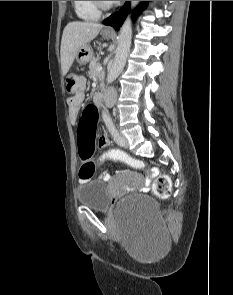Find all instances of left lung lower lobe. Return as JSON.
I'll use <instances>...</instances> for the list:
<instances>
[{
  "mask_svg": "<svg viewBox=\"0 0 233 295\" xmlns=\"http://www.w3.org/2000/svg\"><path fill=\"white\" fill-rule=\"evenodd\" d=\"M129 2L130 1H126V3L124 4V6L119 10V12H116L114 14H112L111 16H109L108 18H106L103 21V24L105 25H109L114 27L116 30H119L120 26L123 24L128 12H129ZM144 8L143 5H141L140 7H138L133 14V17H136L138 15V13Z\"/></svg>",
  "mask_w": 233,
  "mask_h": 295,
  "instance_id": "0a47b994",
  "label": "left lung lower lobe"
}]
</instances>
